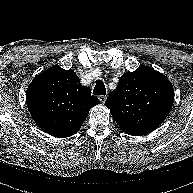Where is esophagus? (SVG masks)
Here are the masks:
<instances>
[{
    "instance_id": "obj_1",
    "label": "esophagus",
    "mask_w": 193,
    "mask_h": 193,
    "mask_svg": "<svg viewBox=\"0 0 193 193\" xmlns=\"http://www.w3.org/2000/svg\"><path fill=\"white\" fill-rule=\"evenodd\" d=\"M98 99H99V101L103 104V103H105V101H106V99H107V96H105V95H100V96L98 97Z\"/></svg>"
}]
</instances>
